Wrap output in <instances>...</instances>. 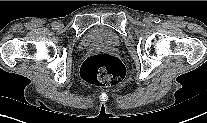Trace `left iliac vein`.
<instances>
[{
    "mask_svg": "<svg viewBox=\"0 0 207 123\" xmlns=\"http://www.w3.org/2000/svg\"><path fill=\"white\" fill-rule=\"evenodd\" d=\"M144 22H145L146 24H151V23H152V19H150V18H145V19H144Z\"/></svg>",
    "mask_w": 207,
    "mask_h": 123,
    "instance_id": "1",
    "label": "left iliac vein"
}]
</instances>
